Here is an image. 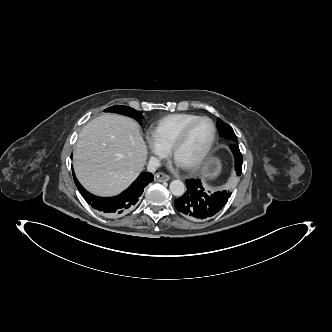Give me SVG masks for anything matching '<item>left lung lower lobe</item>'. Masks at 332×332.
I'll list each match as a JSON object with an SVG mask.
<instances>
[{"label":"left lung lower lobe","instance_id":"1","mask_svg":"<svg viewBox=\"0 0 332 332\" xmlns=\"http://www.w3.org/2000/svg\"><path fill=\"white\" fill-rule=\"evenodd\" d=\"M235 156L236 172L241 174L243 158L236 145H231ZM187 191L174 201L175 208L187 218L204 221L217 214L227 203L231 193L228 191L215 192L209 195L199 179L186 180Z\"/></svg>","mask_w":332,"mask_h":332}]
</instances>
